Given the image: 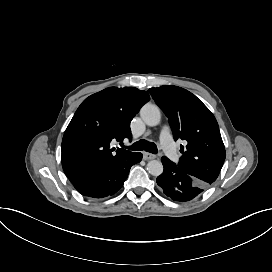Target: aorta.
Returning <instances> with one entry per match:
<instances>
[{"instance_id":"762f6f07","label":"aorta","mask_w":272,"mask_h":272,"mask_svg":"<svg viewBox=\"0 0 272 272\" xmlns=\"http://www.w3.org/2000/svg\"><path fill=\"white\" fill-rule=\"evenodd\" d=\"M140 116L149 126H156L161 119L160 109L157 105L146 103L140 110ZM147 171L153 176H159L163 173V165L159 160H151L147 164Z\"/></svg>"}]
</instances>
